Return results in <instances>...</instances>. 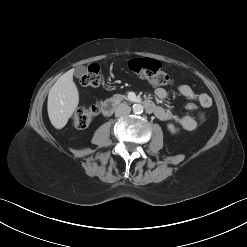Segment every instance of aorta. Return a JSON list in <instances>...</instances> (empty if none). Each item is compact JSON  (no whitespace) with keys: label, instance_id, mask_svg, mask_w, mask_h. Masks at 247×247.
I'll use <instances>...</instances> for the list:
<instances>
[{"label":"aorta","instance_id":"obj_1","mask_svg":"<svg viewBox=\"0 0 247 247\" xmlns=\"http://www.w3.org/2000/svg\"><path fill=\"white\" fill-rule=\"evenodd\" d=\"M133 112L135 114H141L143 112V106L141 104H134L133 105Z\"/></svg>","mask_w":247,"mask_h":247}]
</instances>
